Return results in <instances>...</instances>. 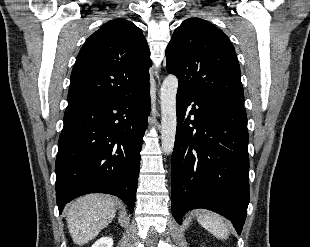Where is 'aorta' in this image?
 <instances>
[{
    "mask_svg": "<svg viewBox=\"0 0 310 247\" xmlns=\"http://www.w3.org/2000/svg\"><path fill=\"white\" fill-rule=\"evenodd\" d=\"M178 79L174 75H168L161 86V145L166 154H171L174 149L177 116H176V94Z\"/></svg>",
    "mask_w": 310,
    "mask_h": 247,
    "instance_id": "obj_1",
    "label": "aorta"
}]
</instances>
